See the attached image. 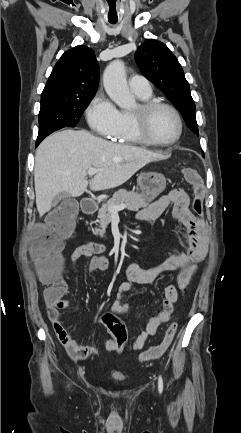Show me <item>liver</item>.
<instances>
[{"label":"liver","mask_w":241,"mask_h":433,"mask_svg":"<svg viewBox=\"0 0 241 433\" xmlns=\"http://www.w3.org/2000/svg\"><path fill=\"white\" fill-rule=\"evenodd\" d=\"M164 156L143 148L105 141L86 130H63L42 141L35 154L34 183L40 217L52 208L60 192L81 196L118 187L138 170ZM89 168L98 172L89 182Z\"/></svg>","instance_id":"liver-1"}]
</instances>
